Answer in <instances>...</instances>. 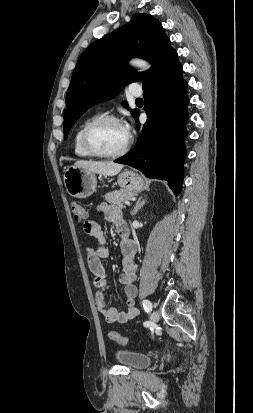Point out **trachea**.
<instances>
[{
  "mask_svg": "<svg viewBox=\"0 0 253 413\" xmlns=\"http://www.w3.org/2000/svg\"><path fill=\"white\" fill-rule=\"evenodd\" d=\"M136 102H143V99L137 98V99H136Z\"/></svg>",
  "mask_w": 253,
  "mask_h": 413,
  "instance_id": "obj_1",
  "label": "trachea"
}]
</instances>
